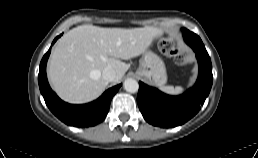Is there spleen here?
I'll list each match as a JSON object with an SVG mask.
<instances>
[{"mask_svg": "<svg viewBox=\"0 0 258 158\" xmlns=\"http://www.w3.org/2000/svg\"><path fill=\"white\" fill-rule=\"evenodd\" d=\"M162 91H164L165 93L171 94V95H178L181 94L183 92V88L181 86H164L160 88Z\"/></svg>", "mask_w": 258, "mask_h": 158, "instance_id": "1", "label": "spleen"}]
</instances>
